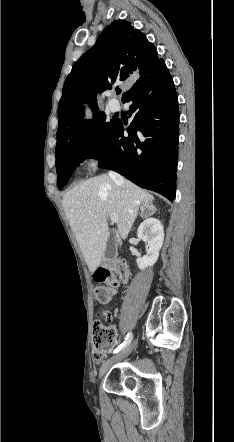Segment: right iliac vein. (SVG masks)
I'll list each match as a JSON object with an SVG mask.
<instances>
[{"instance_id": "63e3f726", "label": "right iliac vein", "mask_w": 234, "mask_h": 442, "mask_svg": "<svg viewBox=\"0 0 234 442\" xmlns=\"http://www.w3.org/2000/svg\"><path fill=\"white\" fill-rule=\"evenodd\" d=\"M133 347H134V344H130V345L126 346L122 351L117 353L115 356H113L109 360H107L100 368L99 377H102L110 369V367L113 364L126 358L131 353Z\"/></svg>"}]
</instances>
